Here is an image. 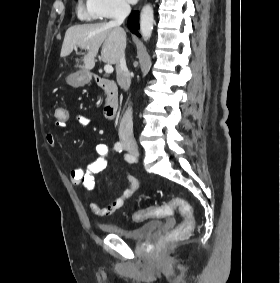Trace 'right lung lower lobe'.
<instances>
[{
  "mask_svg": "<svg viewBox=\"0 0 280 283\" xmlns=\"http://www.w3.org/2000/svg\"><path fill=\"white\" fill-rule=\"evenodd\" d=\"M127 26L132 33L140 36L137 32V30L139 29V12L134 11L133 13H131Z\"/></svg>",
  "mask_w": 280,
  "mask_h": 283,
  "instance_id": "1",
  "label": "right lung lower lobe"
}]
</instances>
